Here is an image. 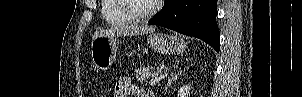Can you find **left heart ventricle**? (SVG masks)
<instances>
[{"label":"left heart ventricle","instance_id":"1","mask_svg":"<svg viewBox=\"0 0 302 97\" xmlns=\"http://www.w3.org/2000/svg\"><path fill=\"white\" fill-rule=\"evenodd\" d=\"M153 2L151 0H130L129 4L136 13H144L148 10Z\"/></svg>","mask_w":302,"mask_h":97}]
</instances>
